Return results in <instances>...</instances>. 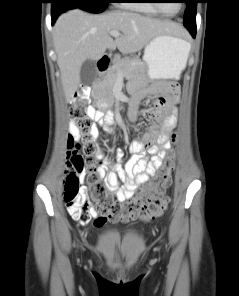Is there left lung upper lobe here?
Wrapping results in <instances>:
<instances>
[{
  "instance_id": "1",
  "label": "left lung upper lobe",
  "mask_w": 239,
  "mask_h": 296,
  "mask_svg": "<svg viewBox=\"0 0 239 296\" xmlns=\"http://www.w3.org/2000/svg\"><path fill=\"white\" fill-rule=\"evenodd\" d=\"M184 26L196 24V9L198 0H185Z\"/></svg>"
}]
</instances>
